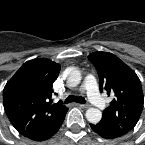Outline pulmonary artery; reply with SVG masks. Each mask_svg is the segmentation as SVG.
Returning <instances> with one entry per match:
<instances>
[{
	"label": "pulmonary artery",
	"instance_id": "1",
	"mask_svg": "<svg viewBox=\"0 0 145 145\" xmlns=\"http://www.w3.org/2000/svg\"><path fill=\"white\" fill-rule=\"evenodd\" d=\"M83 89L86 91L88 99L98 108L105 105V100L99 93L97 81L94 74H88L83 82Z\"/></svg>",
	"mask_w": 145,
	"mask_h": 145
}]
</instances>
